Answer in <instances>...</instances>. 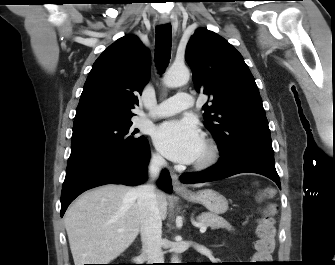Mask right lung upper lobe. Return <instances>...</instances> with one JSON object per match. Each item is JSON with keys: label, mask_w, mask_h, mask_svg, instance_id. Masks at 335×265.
Instances as JSON below:
<instances>
[{"label": "right lung upper lobe", "mask_w": 335, "mask_h": 265, "mask_svg": "<svg viewBox=\"0 0 335 265\" xmlns=\"http://www.w3.org/2000/svg\"><path fill=\"white\" fill-rule=\"evenodd\" d=\"M150 70V52L137 36L116 40L93 64L76 109L74 127L129 121Z\"/></svg>", "instance_id": "1"}]
</instances>
